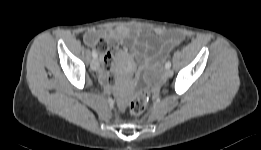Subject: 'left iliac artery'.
I'll list each match as a JSON object with an SVG mask.
<instances>
[{"mask_svg": "<svg viewBox=\"0 0 261 150\" xmlns=\"http://www.w3.org/2000/svg\"><path fill=\"white\" fill-rule=\"evenodd\" d=\"M171 67V62L170 61H167L166 63H165V68L166 69H169Z\"/></svg>", "mask_w": 261, "mask_h": 150, "instance_id": "44dca946", "label": "left iliac artery"}]
</instances>
